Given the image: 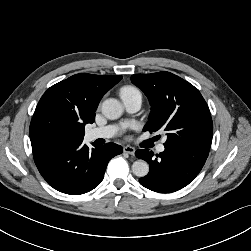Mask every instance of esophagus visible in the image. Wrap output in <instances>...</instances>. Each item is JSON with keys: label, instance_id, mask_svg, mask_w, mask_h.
Wrapping results in <instances>:
<instances>
[{"label": "esophagus", "instance_id": "esophagus-1", "mask_svg": "<svg viewBox=\"0 0 251 251\" xmlns=\"http://www.w3.org/2000/svg\"><path fill=\"white\" fill-rule=\"evenodd\" d=\"M123 151H124L125 153H127V154L132 155V156H134V154H135V148H133V147H131V146H125V147L123 148Z\"/></svg>", "mask_w": 251, "mask_h": 251}]
</instances>
